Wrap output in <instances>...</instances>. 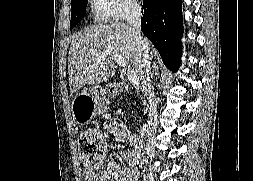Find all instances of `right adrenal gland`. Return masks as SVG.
I'll list each match as a JSON object with an SVG mask.
<instances>
[{
	"mask_svg": "<svg viewBox=\"0 0 253 181\" xmlns=\"http://www.w3.org/2000/svg\"><path fill=\"white\" fill-rule=\"evenodd\" d=\"M154 75H157V76L159 75V68L155 66H153L151 77L153 78Z\"/></svg>",
	"mask_w": 253,
	"mask_h": 181,
	"instance_id": "obj_1",
	"label": "right adrenal gland"
}]
</instances>
